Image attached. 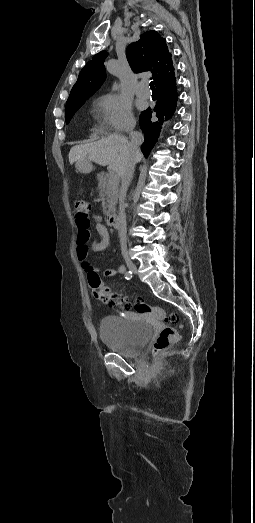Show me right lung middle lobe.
I'll return each mask as SVG.
<instances>
[{"mask_svg": "<svg viewBox=\"0 0 255 523\" xmlns=\"http://www.w3.org/2000/svg\"><path fill=\"white\" fill-rule=\"evenodd\" d=\"M84 102H71L66 103L65 107V119L68 124L73 117L74 113L83 105Z\"/></svg>", "mask_w": 255, "mask_h": 523, "instance_id": "dd1d6c3e", "label": "right lung middle lobe"}]
</instances>
